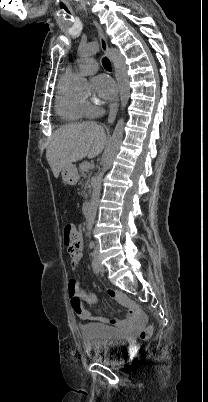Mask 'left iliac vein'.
<instances>
[{"mask_svg":"<svg viewBox=\"0 0 208 402\" xmlns=\"http://www.w3.org/2000/svg\"><path fill=\"white\" fill-rule=\"evenodd\" d=\"M97 260H98V263H99V268H100V270L103 272L104 271V267L100 264V262H99V259L97 258Z\"/></svg>","mask_w":208,"mask_h":402,"instance_id":"left-iliac-vein-1","label":"left iliac vein"}]
</instances>
